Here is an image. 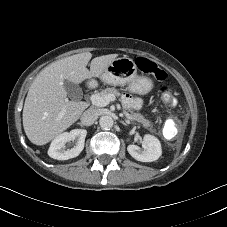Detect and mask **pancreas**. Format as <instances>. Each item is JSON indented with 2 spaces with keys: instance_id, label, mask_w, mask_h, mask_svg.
I'll list each match as a JSON object with an SVG mask.
<instances>
[{
  "instance_id": "cf45deb5",
  "label": "pancreas",
  "mask_w": 227,
  "mask_h": 227,
  "mask_svg": "<svg viewBox=\"0 0 227 227\" xmlns=\"http://www.w3.org/2000/svg\"><path fill=\"white\" fill-rule=\"evenodd\" d=\"M108 94H113L114 96H120L119 91L113 87L106 88L98 93V95L100 96H106ZM130 116L132 120L141 123L144 127L149 128L150 131L152 132L154 131L152 123L149 120H147L142 114L134 111H130Z\"/></svg>"
}]
</instances>
